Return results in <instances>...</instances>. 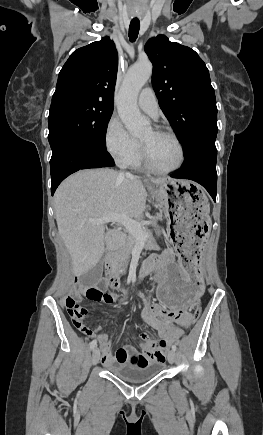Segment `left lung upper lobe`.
Returning <instances> with one entry per match:
<instances>
[{
	"mask_svg": "<svg viewBox=\"0 0 263 435\" xmlns=\"http://www.w3.org/2000/svg\"><path fill=\"white\" fill-rule=\"evenodd\" d=\"M145 52L153 64L152 85L159 105L184 153L200 141L216 139L215 92L198 54L164 35L151 38Z\"/></svg>",
	"mask_w": 263,
	"mask_h": 435,
	"instance_id": "obj_1",
	"label": "left lung upper lobe"
}]
</instances>
